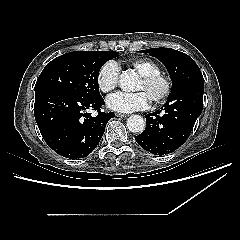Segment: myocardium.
I'll return each instance as SVG.
<instances>
[{"label":"myocardium","instance_id":"f54148a6","mask_svg":"<svg viewBox=\"0 0 240 240\" xmlns=\"http://www.w3.org/2000/svg\"><path fill=\"white\" fill-rule=\"evenodd\" d=\"M140 79L148 86L160 84V91L151 99L153 102H161L169 96L171 91V83L161 73L153 72L145 75H140Z\"/></svg>","mask_w":240,"mask_h":240}]
</instances>
